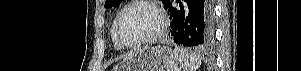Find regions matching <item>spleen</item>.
Instances as JSON below:
<instances>
[{
  "label": "spleen",
  "instance_id": "3e777b00",
  "mask_svg": "<svg viewBox=\"0 0 301 71\" xmlns=\"http://www.w3.org/2000/svg\"><path fill=\"white\" fill-rule=\"evenodd\" d=\"M174 53L182 63L183 71H196L199 68L201 61L195 53L183 48H175Z\"/></svg>",
  "mask_w": 301,
  "mask_h": 71
}]
</instances>
